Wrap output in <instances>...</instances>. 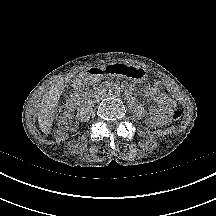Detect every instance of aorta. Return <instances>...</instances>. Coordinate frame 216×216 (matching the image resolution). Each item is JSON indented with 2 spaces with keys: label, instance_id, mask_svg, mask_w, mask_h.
Instances as JSON below:
<instances>
[{
  "label": "aorta",
  "instance_id": "1",
  "mask_svg": "<svg viewBox=\"0 0 216 216\" xmlns=\"http://www.w3.org/2000/svg\"><path fill=\"white\" fill-rule=\"evenodd\" d=\"M109 93L112 97H117L120 95V89L118 87H112Z\"/></svg>",
  "mask_w": 216,
  "mask_h": 216
}]
</instances>
